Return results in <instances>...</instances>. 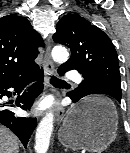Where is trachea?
<instances>
[{
	"instance_id": "3493384b",
	"label": "trachea",
	"mask_w": 130,
	"mask_h": 153,
	"mask_svg": "<svg viewBox=\"0 0 130 153\" xmlns=\"http://www.w3.org/2000/svg\"><path fill=\"white\" fill-rule=\"evenodd\" d=\"M50 83L54 86H64V85H67V83L63 80H60L58 78H55V77H51L50 79Z\"/></svg>"
}]
</instances>
